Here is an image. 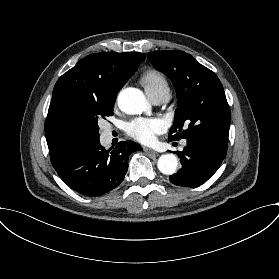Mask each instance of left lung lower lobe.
<instances>
[{"instance_id":"obj_1","label":"left lung lower lobe","mask_w":279,"mask_h":279,"mask_svg":"<svg viewBox=\"0 0 279 279\" xmlns=\"http://www.w3.org/2000/svg\"><path fill=\"white\" fill-rule=\"evenodd\" d=\"M227 147L228 142L219 139L209 137L187 139L183 151L177 152L182 168L170 176V181L185 187L203 184L220 167L226 156Z\"/></svg>"}]
</instances>
